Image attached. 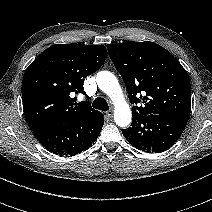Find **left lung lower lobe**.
I'll return each instance as SVG.
<instances>
[{
	"label": "left lung lower lobe",
	"instance_id": "obj_1",
	"mask_svg": "<svg viewBox=\"0 0 212 212\" xmlns=\"http://www.w3.org/2000/svg\"><path fill=\"white\" fill-rule=\"evenodd\" d=\"M187 121L170 115L133 116L131 127L123 129L122 133L133 147L148 153H161L176 143Z\"/></svg>",
	"mask_w": 212,
	"mask_h": 212
}]
</instances>
